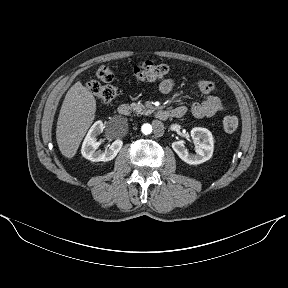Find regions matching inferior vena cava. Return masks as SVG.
Returning a JSON list of instances; mask_svg holds the SVG:
<instances>
[{"label":"inferior vena cava","instance_id":"inferior-vena-cava-1","mask_svg":"<svg viewBox=\"0 0 288 288\" xmlns=\"http://www.w3.org/2000/svg\"><path fill=\"white\" fill-rule=\"evenodd\" d=\"M149 124L153 127L154 134L157 136H162L164 134V126L156 117H151L149 119Z\"/></svg>","mask_w":288,"mask_h":288}]
</instances>
